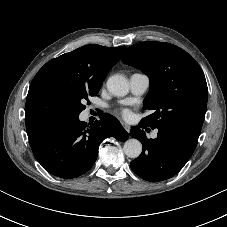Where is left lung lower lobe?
I'll return each instance as SVG.
<instances>
[{"label":"left lung lower lobe","mask_w":227,"mask_h":227,"mask_svg":"<svg viewBox=\"0 0 227 227\" xmlns=\"http://www.w3.org/2000/svg\"><path fill=\"white\" fill-rule=\"evenodd\" d=\"M147 127L142 122L132 127L130 135L143 146L141 155L130 163L132 170L141 178L163 181L176 175L193 154L198 138L171 127L158 128V136L148 139L140 128Z\"/></svg>","instance_id":"0a47b994"}]
</instances>
